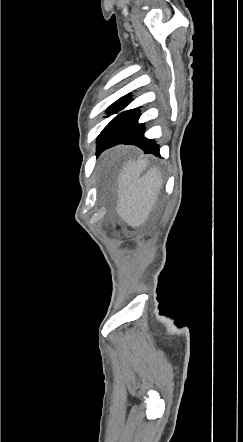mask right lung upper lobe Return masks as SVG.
<instances>
[{"instance_id": "obj_1", "label": "right lung upper lobe", "mask_w": 243, "mask_h": 442, "mask_svg": "<svg viewBox=\"0 0 243 442\" xmlns=\"http://www.w3.org/2000/svg\"><path fill=\"white\" fill-rule=\"evenodd\" d=\"M128 95H126V96H124V97H122V98H126Z\"/></svg>"}]
</instances>
